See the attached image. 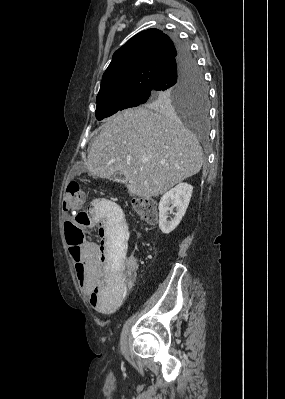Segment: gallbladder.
<instances>
[{"mask_svg":"<svg viewBox=\"0 0 285 399\" xmlns=\"http://www.w3.org/2000/svg\"><path fill=\"white\" fill-rule=\"evenodd\" d=\"M111 180H112V181H115V182L123 183L125 179H124V176L121 175L120 173H115V174L112 176Z\"/></svg>","mask_w":285,"mask_h":399,"instance_id":"gallbladder-1","label":"gallbladder"}]
</instances>
